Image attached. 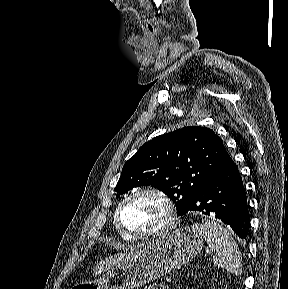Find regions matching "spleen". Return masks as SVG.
Instances as JSON below:
<instances>
[{
    "mask_svg": "<svg viewBox=\"0 0 288 289\" xmlns=\"http://www.w3.org/2000/svg\"><path fill=\"white\" fill-rule=\"evenodd\" d=\"M193 227L204 237L209 248L215 252L213 264L235 276H240L242 274V257L229 230L210 219L196 223Z\"/></svg>",
    "mask_w": 288,
    "mask_h": 289,
    "instance_id": "3e777b00",
    "label": "spleen"
}]
</instances>
